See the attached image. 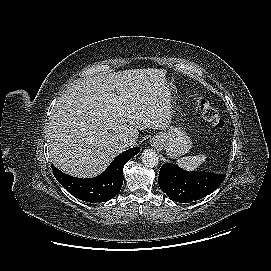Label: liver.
<instances>
[{"mask_svg": "<svg viewBox=\"0 0 271 271\" xmlns=\"http://www.w3.org/2000/svg\"><path fill=\"white\" fill-rule=\"evenodd\" d=\"M162 69H131L77 80L56 101L47 127L54 165L76 177L104 171L123 151L122 135L171 124L170 87ZM116 90V92H115ZM121 97L116 103L115 94Z\"/></svg>", "mask_w": 271, "mask_h": 271, "instance_id": "6515ba94", "label": "liver"}]
</instances>
